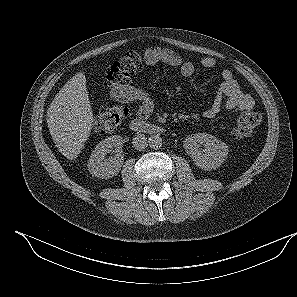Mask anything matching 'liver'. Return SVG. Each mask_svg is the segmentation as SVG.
I'll return each mask as SVG.
<instances>
[{
    "instance_id": "1",
    "label": "liver",
    "mask_w": 297,
    "mask_h": 297,
    "mask_svg": "<svg viewBox=\"0 0 297 297\" xmlns=\"http://www.w3.org/2000/svg\"><path fill=\"white\" fill-rule=\"evenodd\" d=\"M47 125L59 152L74 160L81 153L93 126V113L83 72L73 76L50 104Z\"/></svg>"
}]
</instances>
